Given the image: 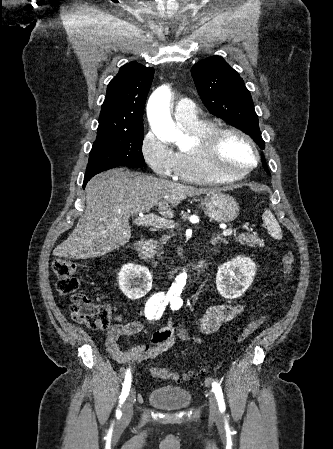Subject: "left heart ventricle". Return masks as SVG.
<instances>
[{"label":"left heart ventricle","mask_w":333,"mask_h":449,"mask_svg":"<svg viewBox=\"0 0 333 449\" xmlns=\"http://www.w3.org/2000/svg\"><path fill=\"white\" fill-rule=\"evenodd\" d=\"M254 160V153L245 141L236 136H228L221 144L217 163L222 170L239 173Z\"/></svg>","instance_id":"b2bd125f"}]
</instances>
